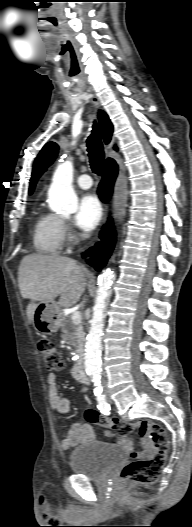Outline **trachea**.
Listing matches in <instances>:
<instances>
[{
    "instance_id": "trachea-1",
    "label": "trachea",
    "mask_w": 192,
    "mask_h": 527,
    "mask_svg": "<svg viewBox=\"0 0 192 527\" xmlns=\"http://www.w3.org/2000/svg\"><path fill=\"white\" fill-rule=\"evenodd\" d=\"M91 169L97 175L101 174L104 162V149L96 122L92 126V133L87 139Z\"/></svg>"
}]
</instances>
